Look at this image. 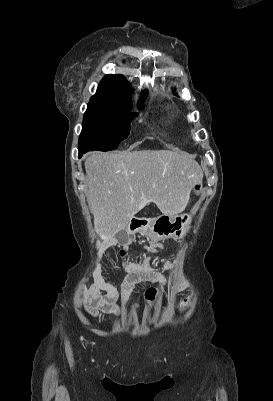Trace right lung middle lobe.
<instances>
[{"instance_id":"dd1d6c3e","label":"right lung middle lobe","mask_w":273,"mask_h":401,"mask_svg":"<svg viewBox=\"0 0 273 401\" xmlns=\"http://www.w3.org/2000/svg\"><path fill=\"white\" fill-rule=\"evenodd\" d=\"M129 110L130 107L90 101L84 113L79 152L116 149L129 136L130 122L138 115Z\"/></svg>"}]
</instances>
